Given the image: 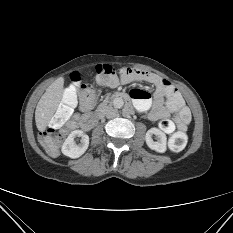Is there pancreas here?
<instances>
[{"mask_svg":"<svg viewBox=\"0 0 233 233\" xmlns=\"http://www.w3.org/2000/svg\"><path fill=\"white\" fill-rule=\"evenodd\" d=\"M105 106H106V102H104V103H102L101 105H99V106H98V111L104 110Z\"/></svg>","mask_w":233,"mask_h":233,"instance_id":"obj_1","label":"pancreas"}]
</instances>
